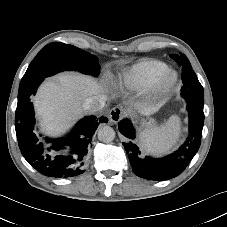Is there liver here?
<instances>
[{
    "label": "liver",
    "instance_id": "1",
    "mask_svg": "<svg viewBox=\"0 0 227 227\" xmlns=\"http://www.w3.org/2000/svg\"><path fill=\"white\" fill-rule=\"evenodd\" d=\"M104 91V86L97 80L79 73H63L54 81H45L33 99L43 130L49 134L65 131L82 114L81 104L84 100L105 96ZM157 109L147 105L139 106V112L146 116Z\"/></svg>",
    "mask_w": 227,
    "mask_h": 227
}]
</instances>
